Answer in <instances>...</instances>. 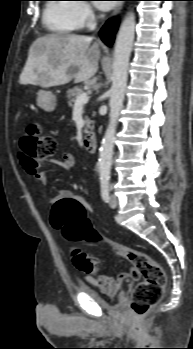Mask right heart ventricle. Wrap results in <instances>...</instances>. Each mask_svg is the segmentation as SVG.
<instances>
[{
  "label": "right heart ventricle",
  "mask_w": 193,
  "mask_h": 349,
  "mask_svg": "<svg viewBox=\"0 0 193 349\" xmlns=\"http://www.w3.org/2000/svg\"><path fill=\"white\" fill-rule=\"evenodd\" d=\"M75 3L70 0H51L45 5L43 23L55 34L67 35L81 27L75 12Z\"/></svg>",
  "instance_id": "right-heart-ventricle-1"
}]
</instances>
